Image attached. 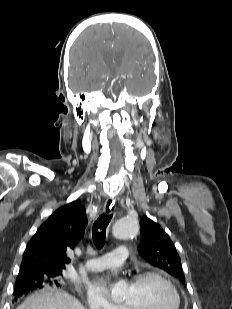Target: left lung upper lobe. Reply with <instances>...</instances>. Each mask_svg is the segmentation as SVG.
I'll list each match as a JSON object with an SVG mask.
<instances>
[{"label":"left lung upper lobe","mask_w":232,"mask_h":309,"mask_svg":"<svg viewBox=\"0 0 232 309\" xmlns=\"http://www.w3.org/2000/svg\"><path fill=\"white\" fill-rule=\"evenodd\" d=\"M141 242L138 252L141 257L157 268L185 282L180 256L160 225L144 216L140 219Z\"/></svg>","instance_id":"left-lung-upper-lobe-1"}]
</instances>
